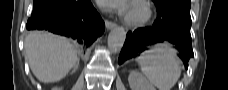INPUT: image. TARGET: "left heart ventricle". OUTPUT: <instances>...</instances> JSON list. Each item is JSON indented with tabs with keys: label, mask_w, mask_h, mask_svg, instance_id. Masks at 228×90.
<instances>
[{
	"label": "left heart ventricle",
	"mask_w": 228,
	"mask_h": 90,
	"mask_svg": "<svg viewBox=\"0 0 228 90\" xmlns=\"http://www.w3.org/2000/svg\"><path fill=\"white\" fill-rule=\"evenodd\" d=\"M144 11L141 6L134 5L131 6L128 10V15L132 18H140L143 15Z\"/></svg>",
	"instance_id": "left-heart-ventricle-1"
}]
</instances>
